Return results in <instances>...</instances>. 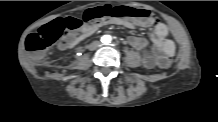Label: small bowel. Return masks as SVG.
Here are the masks:
<instances>
[{"label": "small bowel", "mask_w": 218, "mask_h": 122, "mask_svg": "<svg viewBox=\"0 0 218 122\" xmlns=\"http://www.w3.org/2000/svg\"><path fill=\"white\" fill-rule=\"evenodd\" d=\"M110 22L126 26L128 28H133L135 25L134 18H116L110 20ZM99 27V24H87L82 23L79 27V32L83 36H88L94 33ZM154 42H155V55H147L144 58V63L146 66L151 67L155 64L157 60L158 53L172 54L174 50L173 42L168 38V30L165 25L159 24L154 30ZM81 37L77 36L75 33H70L64 39L62 47L64 49H72L80 41ZM128 42L134 48H140L142 46V40L136 36L128 37Z\"/></svg>", "instance_id": "obj_1"}]
</instances>
